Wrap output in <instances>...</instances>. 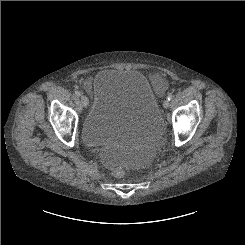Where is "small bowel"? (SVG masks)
Listing matches in <instances>:
<instances>
[{
	"mask_svg": "<svg viewBox=\"0 0 245 245\" xmlns=\"http://www.w3.org/2000/svg\"><path fill=\"white\" fill-rule=\"evenodd\" d=\"M152 83L158 94H162L167 87V81L157 76L152 77ZM86 85L89 86V82H87Z\"/></svg>",
	"mask_w": 245,
	"mask_h": 245,
	"instance_id": "c3829d8e",
	"label": "small bowel"
}]
</instances>
